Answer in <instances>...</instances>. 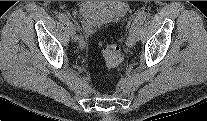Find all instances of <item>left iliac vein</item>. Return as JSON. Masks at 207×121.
<instances>
[{
  "instance_id": "1",
  "label": "left iliac vein",
  "mask_w": 207,
  "mask_h": 121,
  "mask_svg": "<svg viewBox=\"0 0 207 121\" xmlns=\"http://www.w3.org/2000/svg\"><path fill=\"white\" fill-rule=\"evenodd\" d=\"M139 35H140V27L130 30V33H129V36L126 42L127 46L128 47L134 46L139 39Z\"/></svg>"
}]
</instances>
